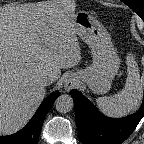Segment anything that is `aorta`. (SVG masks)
<instances>
[{
  "mask_svg": "<svg viewBox=\"0 0 144 144\" xmlns=\"http://www.w3.org/2000/svg\"><path fill=\"white\" fill-rule=\"evenodd\" d=\"M55 108L58 112L67 113L73 108V99L70 95H60L55 101Z\"/></svg>",
  "mask_w": 144,
  "mask_h": 144,
  "instance_id": "obj_1",
  "label": "aorta"
}]
</instances>
